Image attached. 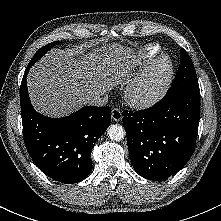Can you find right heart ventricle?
<instances>
[{"instance_id":"obj_1","label":"right heart ventricle","mask_w":221,"mask_h":221,"mask_svg":"<svg viewBox=\"0 0 221 221\" xmlns=\"http://www.w3.org/2000/svg\"><path fill=\"white\" fill-rule=\"evenodd\" d=\"M160 52V46L158 45H150L147 47V53L146 56L149 61L153 60L156 56L159 55Z\"/></svg>"}]
</instances>
